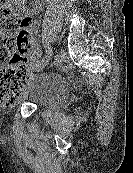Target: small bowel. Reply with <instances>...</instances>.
Segmentation results:
<instances>
[{"mask_svg":"<svg viewBox=\"0 0 133 173\" xmlns=\"http://www.w3.org/2000/svg\"><path fill=\"white\" fill-rule=\"evenodd\" d=\"M31 44H32L31 50L28 52L26 60L23 62L24 68L32 66L40 56V50L36 40L31 39Z\"/></svg>","mask_w":133,"mask_h":173,"instance_id":"small-bowel-1","label":"small bowel"}]
</instances>
